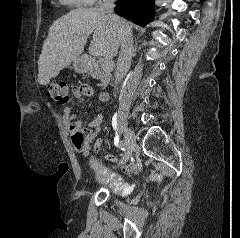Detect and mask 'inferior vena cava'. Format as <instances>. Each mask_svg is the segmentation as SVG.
Returning a JSON list of instances; mask_svg holds the SVG:
<instances>
[{
	"label": "inferior vena cava",
	"mask_w": 240,
	"mask_h": 238,
	"mask_svg": "<svg viewBox=\"0 0 240 238\" xmlns=\"http://www.w3.org/2000/svg\"><path fill=\"white\" fill-rule=\"evenodd\" d=\"M114 7L115 0H103L99 10L121 31V49L115 70V84L117 85L124 78L131 64L133 36L131 27L127 26L121 18L113 14Z\"/></svg>",
	"instance_id": "602c4592"
}]
</instances>
